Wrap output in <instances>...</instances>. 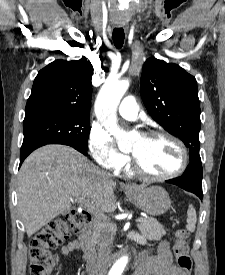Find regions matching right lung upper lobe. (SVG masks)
<instances>
[{
    "label": "right lung upper lobe",
    "mask_w": 225,
    "mask_h": 275,
    "mask_svg": "<svg viewBox=\"0 0 225 275\" xmlns=\"http://www.w3.org/2000/svg\"><path fill=\"white\" fill-rule=\"evenodd\" d=\"M93 67L85 59L55 60L38 72L25 117L40 113L89 114Z\"/></svg>",
    "instance_id": "1"
}]
</instances>
